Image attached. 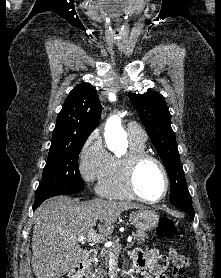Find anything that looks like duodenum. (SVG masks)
<instances>
[{
  "label": "duodenum",
  "mask_w": 221,
  "mask_h": 278,
  "mask_svg": "<svg viewBox=\"0 0 221 278\" xmlns=\"http://www.w3.org/2000/svg\"><path fill=\"white\" fill-rule=\"evenodd\" d=\"M96 257L97 250L94 248L88 249L85 259L75 265L70 271L69 278H83L87 267L95 260Z\"/></svg>",
  "instance_id": "obj_1"
}]
</instances>
